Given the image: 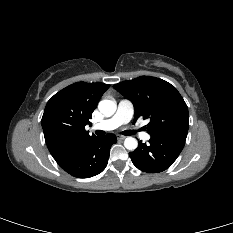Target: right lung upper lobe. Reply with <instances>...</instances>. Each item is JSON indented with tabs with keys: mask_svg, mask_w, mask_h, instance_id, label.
I'll list each match as a JSON object with an SVG mask.
<instances>
[{
	"mask_svg": "<svg viewBox=\"0 0 233 233\" xmlns=\"http://www.w3.org/2000/svg\"><path fill=\"white\" fill-rule=\"evenodd\" d=\"M109 86L77 82L48 101L41 123L47 147L59 165L96 137L90 136L85 126Z\"/></svg>",
	"mask_w": 233,
	"mask_h": 233,
	"instance_id": "cb5924a9",
	"label": "right lung upper lobe"
}]
</instances>
